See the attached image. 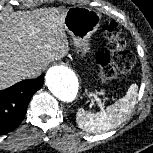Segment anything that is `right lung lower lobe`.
<instances>
[{
  "instance_id": "right-lung-lower-lobe-1",
  "label": "right lung lower lobe",
  "mask_w": 153,
  "mask_h": 153,
  "mask_svg": "<svg viewBox=\"0 0 153 153\" xmlns=\"http://www.w3.org/2000/svg\"><path fill=\"white\" fill-rule=\"evenodd\" d=\"M43 77L24 80L0 90V135L15 129L23 120L32 95L42 87Z\"/></svg>"
}]
</instances>
